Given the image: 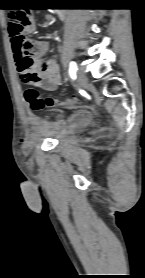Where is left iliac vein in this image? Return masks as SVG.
I'll return each mask as SVG.
<instances>
[{
    "label": "left iliac vein",
    "instance_id": "obj_1",
    "mask_svg": "<svg viewBox=\"0 0 145 278\" xmlns=\"http://www.w3.org/2000/svg\"><path fill=\"white\" fill-rule=\"evenodd\" d=\"M77 80L81 84H86L88 82L87 75L83 69L77 71Z\"/></svg>",
    "mask_w": 145,
    "mask_h": 278
}]
</instances>
